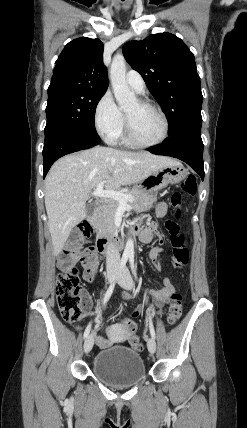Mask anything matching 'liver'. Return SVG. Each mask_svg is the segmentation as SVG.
Wrapping results in <instances>:
<instances>
[{"label": "liver", "mask_w": 247, "mask_h": 428, "mask_svg": "<svg viewBox=\"0 0 247 428\" xmlns=\"http://www.w3.org/2000/svg\"><path fill=\"white\" fill-rule=\"evenodd\" d=\"M178 161L145 152L97 146L59 159L45 180V207L54 255L71 230L87 215L86 200L104 181L107 190L143 181L158 169Z\"/></svg>", "instance_id": "liver-1"}]
</instances>
